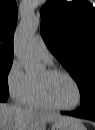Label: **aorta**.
Here are the masks:
<instances>
[{
  "instance_id": "obj_1",
  "label": "aorta",
  "mask_w": 95,
  "mask_h": 130,
  "mask_svg": "<svg viewBox=\"0 0 95 130\" xmlns=\"http://www.w3.org/2000/svg\"><path fill=\"white\" fill-rule=\"evenodd\" d=\"M40 17L26 15L22 18L15 34V54L23 65L27 76H35L40 67L32 50V39L40 25Z\"/></svg>"
}]
</instances>
